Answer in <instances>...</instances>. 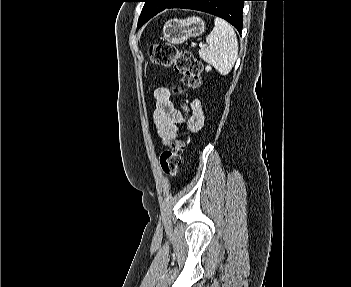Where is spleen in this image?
Masks as SVG:
<instances>
[{"label": "spleen", "instance_id": "spleen-1", "mask_svg": "<svg viewBox=\"0 0 351 287\" xmlns=\"http://www.w3.org/2000/svg\"><path fill=\"white\" fill-rule=\"evenodd\" d=\"M214 24L215 27L206 37L208 46L199 50V56L221 75H227L237 60V37L233 27L225 20L216 18Z\"/></svg>", "mask_w": 351, "mask_h": 287}]
</instances>
